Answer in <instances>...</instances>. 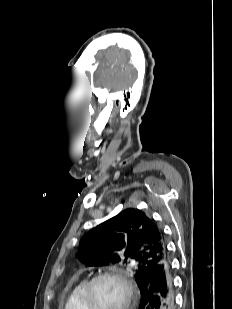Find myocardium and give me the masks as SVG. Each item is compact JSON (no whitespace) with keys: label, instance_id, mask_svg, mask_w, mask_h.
Wrapping results in <instances>:
<instances>
[{"label":"myocardium","instance_id":"1","mask_svg":"<svg viewBox=\"0 0 232 309\" xmlns=\"http://www.w3.org/2000/svg\"><path fill=\"white\" fill-rule=\"evenodd\" d=\"M105 278L115 279L123 286L124 300L122 306L119 309H129L135 296L134 287L128 277L118 269H108L101 271L87 281L83 294V302L86 309H96L93 301V290L96 283Z\"/></svg>","mask_w":232,"mask_h":309}]
</instances>
